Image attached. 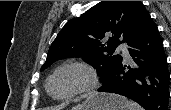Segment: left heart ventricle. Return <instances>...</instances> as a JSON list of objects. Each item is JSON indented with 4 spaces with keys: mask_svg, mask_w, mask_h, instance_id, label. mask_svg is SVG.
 <instances>
[{
    "mask_svg": "<svg viewBox=\"0 0 171 110\" xmlns=\"http://www.w3.org/2000/svg\"><path fill=\"white\" fill-rule=\"evenodd\" d=\"M86 81L84 72L78 69H67L58 73L50 83V91L54 96L62 97L79 87Z\"/></svg>",
    "mask_w": 171,
    "mask_h": 110,
    "instance_id": "b2bd125f",
    "label": "left heart ventricle"
}]
</instances>
